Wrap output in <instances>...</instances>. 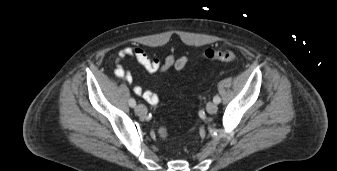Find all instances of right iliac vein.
Here are the masks:
<instances>
[{"label": "right iliac vein", "mask_w": 337, "mask_h": 171, "mask_svg": "<svg viewBox=\"0 0 337 171\" xmlns=\"http://www.w3.org/2000/svg\"><path fill=\"white\" fill-rule=\"evenodd\" d=\"M135 113L139 116H145L147 114V108L144 105L139 104L135 107Z\"/></svg>", "instance_id": "1"}]
</instances>
